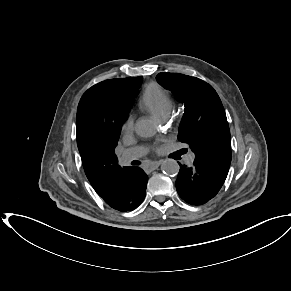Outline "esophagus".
<instances>
[{
	"mask_svg": "<svg viewBox=\"0 0 291 291\" xmlns=\"http://www.w3.org/2000/svg\"><path fill=\"white\" fill-rule=\"evenodd\" d=\"M162 163V161H153L149 164V169L154 170L155 168H157L160 164Z\"/></svg>",
	"mask_w": 291,
	"mask_h": 291,
	"instance_id": "1",
	"label": "esophagus"
}]
</instances>
